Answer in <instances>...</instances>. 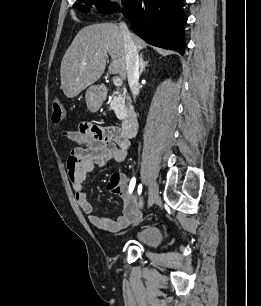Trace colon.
<instances>
[{
    "instance_id": "1",
    "label": "colon",
    "mask_w": 261,
    "mask_h": 306,
    "mask_svg": "<svg viewBox=\"0 0 261 306\" xmlns=\"http://www.w3.org/2000/svg\"><path fill=\"white\" fill-rule=\"evenodd\" d=\"M64 117H65L64 107L59 100L55 99L52 104V113H51V119H52L53 124L56 126L60 125ZM112 180L115 182L118 181L119 175L116 173L113 174Z\"/></svg>"
}]
</instances>
